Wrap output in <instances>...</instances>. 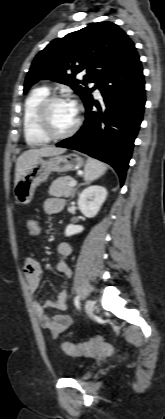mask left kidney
Returning a JSON list of instances; mask_svg holds the SVG:
<instances>
[{
	"label": "left kidney",
	"instance_id": "left-kidney-1",
	"mask_svg": "<svg viewBox=\"0 0 165 419\" xmlns=\"http://www.w3.org/2000/svg\"><path fill=\"white\" fill-rule=\"evenodd\" d=\"M107 197V190L103 186L92 185L85 188L79 195L78 206L80 211L88 218H93L99 212ZM84 230L81 225L69 224L65 229V235L71 236Z\"/></svg>",
	"mask_w": 165,
	"mask_h": 419
}]
</instances>
